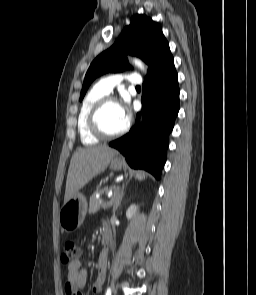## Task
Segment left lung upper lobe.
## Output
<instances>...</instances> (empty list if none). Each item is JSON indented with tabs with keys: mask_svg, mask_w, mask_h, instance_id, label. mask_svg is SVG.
Listing matches in <instances>:
<instances>
[{
	"mask_svg": "<svg viewBox=\"0 0 256 295\" xmlns=\"http://www.w3.org/2000/svg\"><path fill=\"white\" fill-rule=\"evenodd\" d=\"M127 54L135 55L148 64V76L174 63L169 44L161 27L146 15H134L113 46L91 63L82 87L80 101L92 81L106 72H120L128 68Z\"/></svg>",
	"mask_w": 256,
	"mask_h": 295,
	"instance_id": "obj_1",
	"label": "left lung upper lobe"
}]
</instances>
